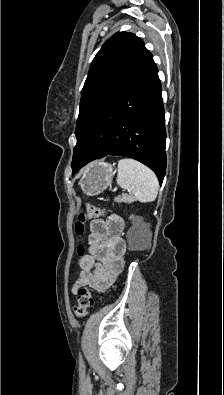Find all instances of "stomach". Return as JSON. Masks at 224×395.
<instances>
[{
  "label": "stomach",
  "mask_w": 224,
  "mask_h": 395,
  "mask_svg": "<svg viewBox=\"0 0 224 395\" xmlns=\"http://www.w3.org/2000/svg\"><path fill=\"white\" fill-rule=\"evenodd\" d=\"M113 166L103 161L90 163L85 167L79 185L89 196H95L104 191L111 183Z\"/></svg>",
  "instance_id": "stomach-1"
}]
</instances>
